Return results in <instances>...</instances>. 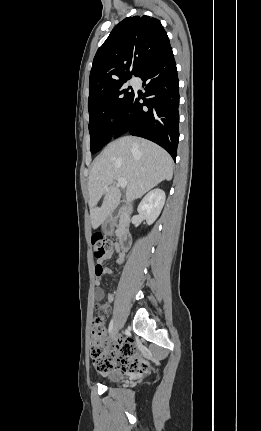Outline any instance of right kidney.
<instances>
[{
  "instance_id": "obj_1",
  "label": "right kidney",
  "mask_w": 261,
  "mask_h": 431,
  "mask_svg": "<svg viewBox=\"0 0 261 431\" xmlns=\"http://www.w3.org/2000/svg\"><path fill=\"white\" fill-rule=\"evenodd\" d=\"M165 199V192L156 188L150 191L139 204L138 212L146 219L148 225L153 224L160 215Z\"/></svg>"
}]
</instances>
